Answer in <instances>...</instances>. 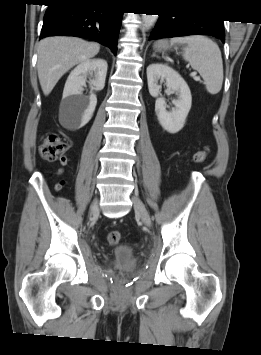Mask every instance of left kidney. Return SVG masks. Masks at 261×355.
<instances>
[{
    "mask_svg": "<svg viewBox=\"0 0 261 355\" xmlns=\"http://www.w3.org/2000/svg\"><path fill=\"white\" fill-rule=\"evenodd\" d=\"M169 91L176 93L177 99L173 100L175 108L166 110V102L159 97L163 82ZM148 89L151 96L156 98L155 112L160 125L169 133L179 132L185 124L186 117L191 109L192 96L186 81L173 68L165 64L154 63L147 67Z\"/></svg>",
    "mask_w": 261,
    "mask_h": 355,
    "instance_id": "1",
    "label": "left kidney"
}]
</instances>
